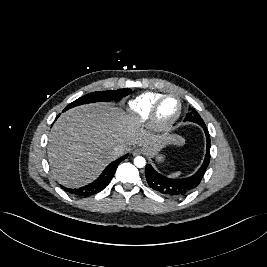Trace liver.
Returning <instances> with one entry per match:
<instances>
[{
    "label": "liver",
    "mask_w": 267,
    "mask_h": 267,
    "mask_svg": "<svg viewBox=\"0 0 267 267\" xmlns=\"http://www.w3.org/2000/svg\"><path fill=\"white\" fill-rule=\"evenodd\" d=\"M174 135H153L122 109L108 103L79 106L63 113L49 136L48 159L57 181L79 187L94 180L118 156L116 146L125 152L142 146L155 155L168 144H181Z\"/></svg>",
    "instance_id": "obj_1"
}]
</instances>
